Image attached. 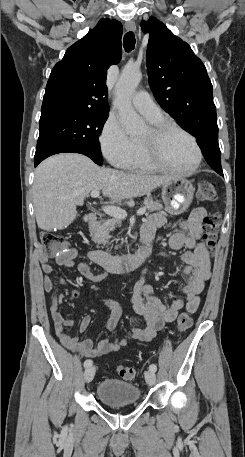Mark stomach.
I'll list each match as a JSON object with an SVG mask.
<instances>
[{"instance_id": "1", "label": "stomach", "mask_w": 245, "mask_h": 457, "mask_svg": "<svg viewBox=\"0 0 245 457\" xmlns=\"http://www.w3.org/2000/svg\"><path fill=\"white\" fill-rule=\"evenodd\" d=\"M194 186L186 178H172L162 184V198L167 212L181 214L192 202Z\"/></svg>"}]
</instances>
